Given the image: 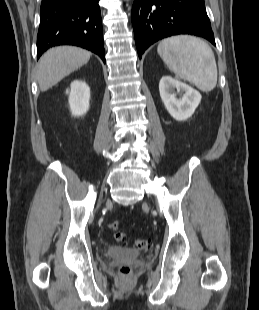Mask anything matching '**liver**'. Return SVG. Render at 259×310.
Masks as SVG:
<instances>
[{
	"label": "liver",
	"instance_id": "1",
	"mask_svg": "<svg viewBox=\"0 0 259 310\" xmlns=\"http://www.w3.org/2000/svg\"><path fill=\"white\" fill-rule=\"evenodd\" d=\"M90 57L89 51L73 46H59L48 50L38 63L37 81L41 91L48 90L85 65Z\"/></svg>",
	"mask_w": 259,
	"mask_h": 310
}]
</instances>
